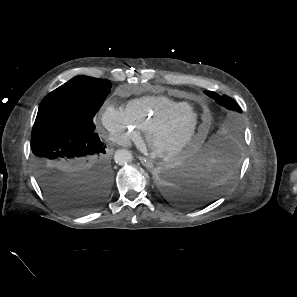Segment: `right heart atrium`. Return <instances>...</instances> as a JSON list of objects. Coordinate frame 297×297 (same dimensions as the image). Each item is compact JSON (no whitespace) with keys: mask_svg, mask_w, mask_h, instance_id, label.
I'll return each mask as SVG.
<instances>
[{"mask_svg":"<svg viewBox=\"0 0 297 297\" xmlns=\"http://www.w3.org/2000/svg\"><path fill=\"white\" fill-rule=\"evenodd\" d=\"M99 120L106 138L113 143L127 146L140 139L141 132L127 112L111 103L104 105Z\"/></svg>","mask_w":297,"mask_h":297,"instance_id":"obj_1","label":"right heart atrium"}]
</instances>
